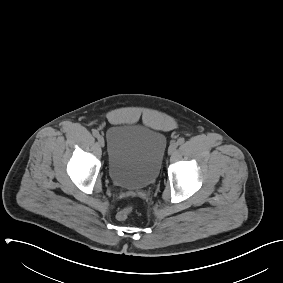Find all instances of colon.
<instances>
[{"label":"colon","instance_id":"obj_1","mask_svg":"<svg viewBox=\"0 0 283 283\" xmlns=\"http://www.w3.org/2000/svg\"><path fill=\"white\" fill-rule=\"evenodd\" d=\"M133 208L131 206L126 207L124 209H121L118 213H117V218L119 220H125L132 212Z\"/></svg>","mask_w":283,"mask_h":283}]
</instances>
